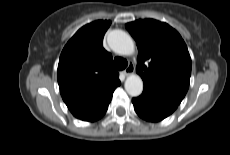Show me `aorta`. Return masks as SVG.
<instances>
[{"instance_id":"obj_1","label":"aorta","mask_w":230,"mask_h":155,"mask_svg":"<svg viewBox=\"0 0 230 155\" xmlns=\"http://www.w3.org/2000/svg\"><path fill=\"white\" fill-rule=\"evenodd\" d=\"M108 43L111 49L120 55H131L135 49L131 36L122 30H113L108 36ZM124 86L132 97L139 96L143 91V81L136 74L129 75Z\"/></svg>"}]
</instances>
